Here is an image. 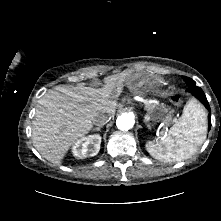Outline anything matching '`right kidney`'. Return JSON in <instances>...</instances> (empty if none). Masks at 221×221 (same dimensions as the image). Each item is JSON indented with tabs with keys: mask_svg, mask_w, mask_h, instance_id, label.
Returning <instances> with one entry per match:
<instances>
[{
	"mask_svg": "<svg viewBox=\"0 0 221 221\" xmlns=\"http://www.w3.org/2000/svg\"><path fill=\"white\" fill-rule=\"evenodd\" d=\"M101 136L99 134L89 135L79 139L72 147L73 156L79 159L87 156H95L100 150Z\"/></svg>",
	"mask_w": 221,
	"mask_h": 221,
	"instance_id": "ca27d5eb",
	"label": "right kidney"
}]
</instances>
